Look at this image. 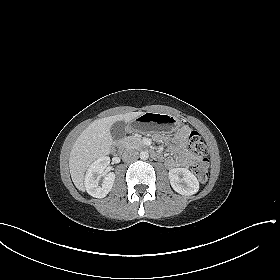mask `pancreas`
<instances>
[{
    "mask_svg": "<svg viewBox=\"0 0 280 280\" xmlns=\"http://www.w3.org/2000/svg\"><path fill=\"white\" fill-rule=\"evenodd\" d=\"M143 146L142 140L138 136H130L127 137L125 140V147L126 148H135L139 149Z\"/></svg>",
    "mask_w": 280,
    "mask_h": 280,
    "instance_id": "1",
    "label": "pancreas"
}]
</instances>
